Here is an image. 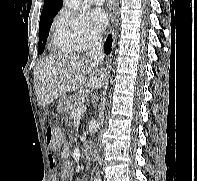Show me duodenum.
<instances>
[{
	"instance_id": "1",
	"label": "duodenum",
	"mask_w": 197,
	"mask_h": 181,
	"mask_svg": "<svg viewBox=\"0 0 197 181\" xmlns=\"http://www.w3.org/2000/svg\"><path fill=\"white\" fill-rule=\"evenodd\" d=\"M84 152H85V156H86V157H89V158H90V157H92V155H93V150H92V148L89 147V146L85 148Z\"/></svg>"
}]
</instances>
